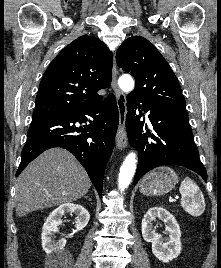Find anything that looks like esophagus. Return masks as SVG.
Segmentation results:
<instances>
[{"instance_id":"esophagus-1","label":"esophagus","mask_w":221,"mask_h":268,"mask_svg":"<svg viewBox=\"0 0 221 268\" xmlns=\"http://www.w3.org/2000/svg\"><path fill=\"white\" fill-rule=\"evenodd\" d=\"M111 86L116 96V102L119 112V126L116 134V146L118 149H123L127 145V132L125 127L127 104L125 94L118 88L117 85V68L115 60H113Z\"/></svg>"}]
</instances>
